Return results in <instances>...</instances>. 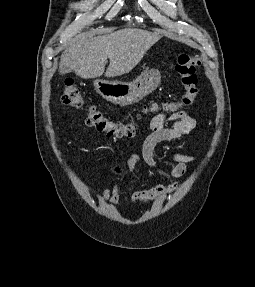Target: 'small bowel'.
<instances>
[{
    "label": "small bowel",
    "instance_id": "obj_1",
    "mask_svg": "<svg viewBox=\"0 0 255 287\" xmlns=\"http://www.w3.org/2000/svg\"><path fill=\"white\" fill-rule=\"evenodd\" d=\"M166 121L173 122L172 126H167ZM196 127V121L184 111L172 114L158 113L150 121L151 133L145 138L142 145V158L146 164L157 170L166 173L173 178L182 177L187 165L194 161L195 156L174 153L172 159L175 164L169 168L162 167L155 158V148L159 143L179 140L184 136H189ZM133 156V161L137 159ZM114 171L118 176V181L111 189H105L103 195L97 196L99 201H105L113 206L119 202V189L121 182L125 179V171L121 167H115ZM179 182H173L169 185H156L152 188L135 191L132 194V200L137 203H152L155 201L165 200L178 187Z\"/></svg>",
    "mask_w": 255,
    "mask_h": 287
}]
</instances>
